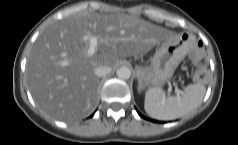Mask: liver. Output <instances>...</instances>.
<instances>
[{"label":"liver","instance_id":"liver-1","mask_svg":"<svg viewBox=\"0 0 238 145\" xmlns=\"http://www.w3.org/2000/svg\"><path fill=\"white\" fill-rule=\"evenodd\" d=\"M169 32L126 14L73 13L52 22L33 44L26 65L27 83L37 106L61 121L90 114L97 104L94 69L115 67L120 59L145 54ZM98 40L87 54L86 37Z\"/></svg>","mask_w":238,"mask_h":145}]
</instances>
